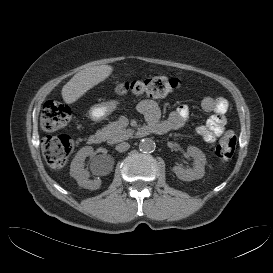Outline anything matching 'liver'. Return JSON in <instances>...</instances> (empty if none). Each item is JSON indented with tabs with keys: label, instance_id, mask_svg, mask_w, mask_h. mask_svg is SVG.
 Listing matches in <instances>:
<instances>
[{
	"label": "liver",
	"instance_id": "obj_1",
	"mask_svg": "<svg viewBox=\"0 0 273 273\" xmlns=\"http://www.w3.org/2000/svg\"><path fill=\"white\" fill-rule=\"evenodd\" d=\"M112 72L111 65H100L76 73L62 88L63 100L67 104L74 103L89 89L106 80Z\"/></svg>",
	"mask_w": 273,
	"mask_h": 273
}]
</instances>
